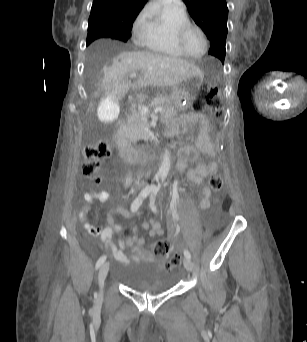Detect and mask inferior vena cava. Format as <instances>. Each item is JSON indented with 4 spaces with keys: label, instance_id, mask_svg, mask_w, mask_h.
I'll list each match as a JSON object with an SVG mask.
<instances>
[{
    "label": "inferior vena cava",
    "instance_id": "obj_1",
    "mask_svg": "<svg viewBox=\"0 0 307 342\" xmlns=\"http://www.w3.org/2000/svg\"><path fill=\"white\" fill-rule=\"evenodd\" d=\"M141 178H142V174H139V176H137L138 184H139Z\"/></svg>",
    "mask_w": 307,
    "mask_h": 342
}]
</instances>
